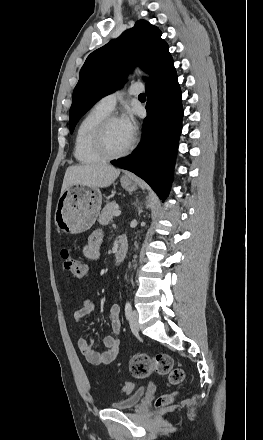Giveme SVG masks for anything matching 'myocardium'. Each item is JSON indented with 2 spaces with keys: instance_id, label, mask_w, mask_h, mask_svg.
Returning a JSON list of instances; mask_svg holds the SVG:
<instances>
[{
  "instance_id": "1",
  "label": "myocardium",
  "mask_w": 263,
  "mask_h": 440,
  "mask_svg": "<svg viewBox=\"0 0 263 440\" xmlns=\"http://www.w3.org/2000/svg\"><path fill=\"white\" fill-rule=\"evenodd\" d=\"M119 120L116 114H108L105 116L96 126L93 135V145L96 152L102 156L105 160H113L126 156L133 148L135 144L134 138L131 139L130 143L120 152H112L107 146L106 133L109 125L115 121Z\"/></svg>"
}]
</instances>
